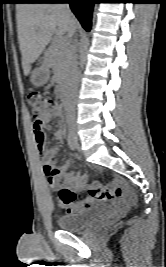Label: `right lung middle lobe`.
Returning a JSON list of instances; mask_svg holds the SVG:
<instances>
[{
	"mask_svg": "<svg viewBox=\"0 0 166 267\" xmlns=\"http://www.w3.org/2000/svg\"><path fill=\"white\" fill-rule=\"evenodd\" d=\"M19 1L29 2V1H33V0H19Z\"/></svg>",
	"mask_w": 166,
	"mask_h": 267,
	"instance_id": "right-lung-middle-lobe-1",
	"label": "right lung middle lobe"
}]
</instances>
